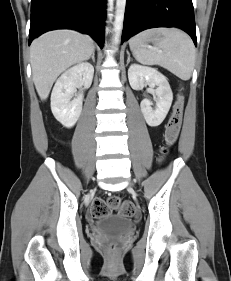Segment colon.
<instances>
[{
    "label": "colon",
    "instance_id": "obj_1",
    "mask_svg": "<svg viewBox=\"0 0 231 281\" xmlns=\"http://www.w3.org/2000/svg\"><path fill=\"white\" fill-rule=\"evenodd\" d=\"M184 110V94L181 91L176 99L173 107L172 115L165 128V145L161 149V157L164 158L170 148L176 142L182 123ZM117 210L127 217H131L135 214V206L130 201H123L118 196H112L107 200L96 198L90 205V213L93 217H101L108 214L110 211Z\"/></svg>",
    "mask_w": 231,
    "mask_h": 281
}]
</instances>
